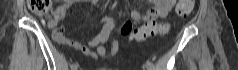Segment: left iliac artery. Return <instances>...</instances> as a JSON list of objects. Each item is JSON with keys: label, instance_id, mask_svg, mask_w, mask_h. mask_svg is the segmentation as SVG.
<instances>
[{"label": "left iliac artery", "instance_id": "obj_1", "mask_svg": "<svg viewBox=\"0 0 238 70\" xmlns=\"http://www.w3.org/2000/svg\"><path fill=\"white\" fill-rule=\"evenodd\" d=\"M146 66L149 70H155V66L150 61L146 62Z\"/></svg>", "mask_w": 238, "mask_h": 70}]
</instances>
